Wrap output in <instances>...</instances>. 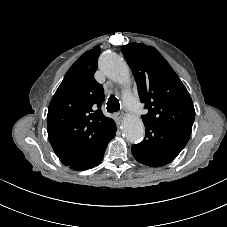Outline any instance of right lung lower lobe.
<instances>
[{
  "instance_id": "1",
  "label": "right lung lower lobe",
  "mask_w": 227,
  "mask_h": 227,
  "mask_svg": "<svg viewBox=\"0 0 227 227\" xmlns=\"http://www.w3.org/2000/svg\"><path fill=\"white\" fill-rule=\"evenodd\" d=\"M116 133V125L113 122L111 126H109V130L106 134V140L101 145V147L97 150V152L89 157H86L82 160H79L71 165L69 167L73 170H87L90 168H93L94 166L98 165L100 161L103 159L105 149L107 147L108 142L114 138Z\"/></svg>"
}]
</instances>
